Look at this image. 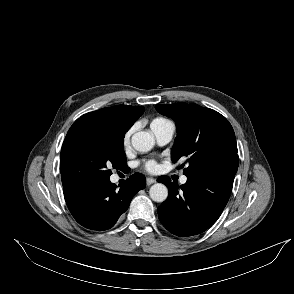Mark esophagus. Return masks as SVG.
Returning a JSON list of instances; mask_svg holds the SVG:
<instances>
[{
  "label": "esophagus",
  "instance_id": "esophagus-1",
  "mask_svg": "<svg viewBox=\"0 0 294 294\" xmlns=\"http://www.w3.org/2000/svg\"><path fill=\"white\" fill-rule=\"evenodd\" d=\"M156 182V179H154V178H152V177H148L147 179H146V184L149 186V185H151V184H153V183H155Z\"/></svg>",
  "mask_w": 294,
  "mask_h": 294
}]
</instances>
